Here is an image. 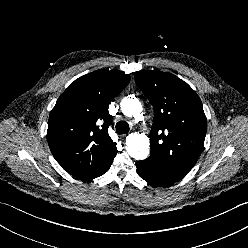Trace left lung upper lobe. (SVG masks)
I'll use <instances>...</instances> for the list:
<instances>
[{
    "label": "left lung upper lobe",
    "instance_id": "5c2ea615",
    "mask_svg": "<svg viewBox=\"0 0 248 248\" xmlns=\"http://www.w3.org/2000/svg\"><path fill=\"white\" fill-rule=\"evenodd\" d=\"M135 81L154 108L150 157L184 177L200 157L207 131L199 96L169 72H138Z\"/></svg>",
    "mask_w": 248,
    "mask_h": 248
}]
</instances>
